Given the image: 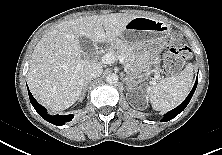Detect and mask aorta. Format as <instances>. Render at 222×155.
Listing matches in <instances>:
<instances>
[{"instance_id":"aorta-1","label":"aorta","mask_w":222,"mask_h":155,"mask_svg":"<svg viewBox=\"0 0 222 155\" xmlns=\"http://www.w3.org/2000/svg\"><path fill=\"white\" fill-rule=\"evenodd\" d=\"M106 82L108 84H116L118 82V76L114 73L106 76Z\"/></svg>"}]
</instances>
